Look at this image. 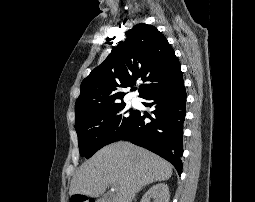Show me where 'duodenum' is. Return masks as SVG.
Here are the masks:
<instances>
[{
    "label": "duodenum",
    "mask_w": 255,
    "mask_h": 202,
    "mask_svg": "<svg viewBox=\"0 0 255 202\" xmlns=\"http://www.w3.org/2000/svg\"><path fill=\"white\" fill-rule=\"evenodd\" d=\"M92 202H103L101 199H98L97 201H92Z\"/></svg>",
    "instance_id": "obj_1"
}]
</instances>
